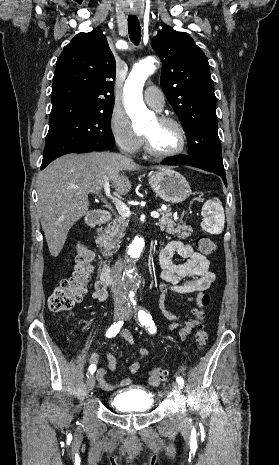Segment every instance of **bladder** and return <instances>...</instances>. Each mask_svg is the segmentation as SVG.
I'll list each match as a JSON object with an SVG mask.
<instances>
[{"label":"bladder","mask_w":279,"mask_h":465,"mask_svg":"<svg viewBox=\"0 0 279 465\" xmlns=\"http://www.w3.org/2000/svg\"><path fill=\"white\" fill-rule=\"evenodd\" d=\"M109 404L119 412L147 413L154 406V398L145 388L132 386L112 395Z\"/></svg>","instance_id":"bladder-1"}]
</instances>
